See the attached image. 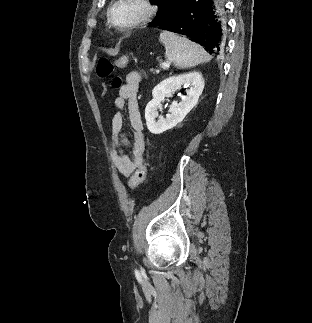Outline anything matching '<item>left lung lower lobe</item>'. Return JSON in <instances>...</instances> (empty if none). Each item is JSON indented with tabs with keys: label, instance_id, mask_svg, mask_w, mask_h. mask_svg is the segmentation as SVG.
Listing matches in <instances>:
<instances>
[{
	"label": "left lung lower lobe",
	"instance_id": "left-lung-lower-lobe-1",
	"mask_svg": "<svg viewBox=\"0 0 312 323\" xmlns=\"http://www.w3.org/2000/svg\"><path fill=\"white\" fill-rule=\"evenodd\" d=\"M223 0H177L159 29L188 37L215 56L227 46L228 25Z\"/></svg>",
	"mask_w": 312,
	"mask_h": 323
}]
</instances>
